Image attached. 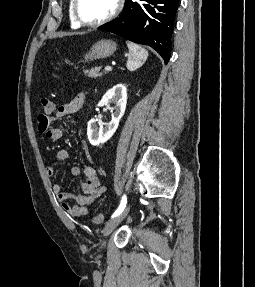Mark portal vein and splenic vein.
<instances>
[{
    "label": "portal vein and splenic vein",
    "instance_id": "18ae733b",
    "mask_svg": "<svg viewBox=\"0 0 255 287\" xmlns=\"http://www.w3.org/2000/svg\"><path fill=\"white\" fill-rule=\"evenodd\" d=\"M105 70H107V72H111L112 68L111 66H106Z\"/></svg>",
    "mask_w": 255,
    "mask_h": 287
}]
</instances>
